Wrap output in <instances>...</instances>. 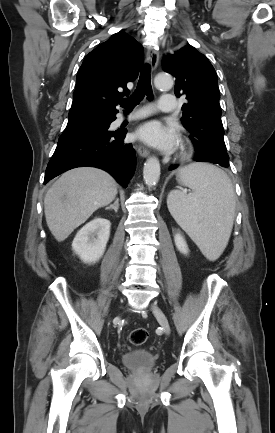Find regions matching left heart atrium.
I'll return each instance as SVG.
<instances>
[{
    "mask_svg": "<svg viewBox=\"0 0 275 433\" xmlns=\"http://www.w3.org/2000/svg\"><path fill=\"white\" fill-rule=\"evenodd\" d=\"M136 136L147 144L165 151H171L178 143L176 129L171 126H163L155 120L143 124L137 130Z\"/></svg>",
    "mask_w": 275,
    "mask_h": 433,
    "instance_id": "left-heart-atrium-1",
    "label": "left heart atrium"
}]
</instances>
